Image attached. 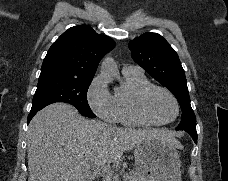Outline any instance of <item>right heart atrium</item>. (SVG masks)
I'll use <instances>...</instances> for the list:
<instances>
[{
  "label": "right heart atrium",
  "instance_id": "obj_1",
  "mask_svg": "<svg viewBox=\"0 0 228 181\" xmlns=\"http://www.w3.org/2000/svg\"><path fill=\"white\" fill-rule=\"evenodd\" d=\"M88 101L98 117L110 123L117 121L114 97L108 91L103 75L94 79L88 92Z\"/></svg>",
  "mask_w": 228,
  "mask_h": 181
}]
</instances>
